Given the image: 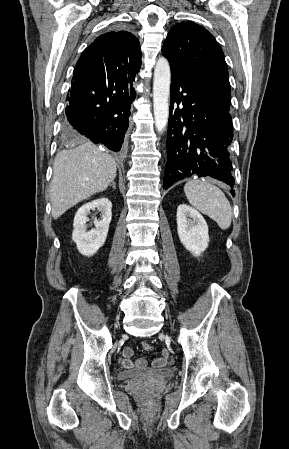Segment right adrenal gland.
I'll use <instances>...</instances> for the list:
<instances>
[{
    "label": "right adrenal gland",
    "instance_id": "2a0ac1e0",
    "mask_svg": "<svg viewBox=\"0 0 289 449\" xmlns=\"http://www.w3.org/2000/svg\"><path fill=\"white\" fill-rule=\"evenodd\" d=\"M111 185H112V187H113L114 189H116V183H115L114 181L112 182Z\"/></svg>",
    "mask_w": 289,
    "mask_h": 449
}]
</instances>
